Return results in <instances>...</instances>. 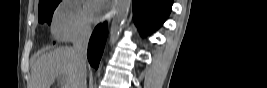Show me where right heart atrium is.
I'll return each instance as SVG.
<instances>
[{
	"instance_id": "1",
	"label": "right heart atrium",
	"mask_w": 267,
	"mask_h": 88,
	"mask_svg": "<svg viewBox=\"0 0 267 88\" xmlns=\"http://www.w3.org/2000/svg\"><path fill=\"white\" fill-rule=\"evenodd\" d=\"M90 30L89 21L76 1H65L58 6L52 23V34L58 41L85 38Z\"/></svg>"
}]
</instances>
